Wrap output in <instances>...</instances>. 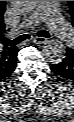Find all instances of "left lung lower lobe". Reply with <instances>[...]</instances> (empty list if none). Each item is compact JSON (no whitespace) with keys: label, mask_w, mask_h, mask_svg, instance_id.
I'll return each mask as SVG.
<instances>
[{"label":"left lung lower lobe","mask_w":74,"mask_h":122,"mask_svg":"<svg viewBox=\"0 0 74 122\" xmlns=\"http://www.w3.org/2000/svg\"><path fill=\"white\" fill-rule=\"evenodd\" d=\"M51 70L63 80L74 82V47L67 48L63 60L56 64H50Z\"/></svg>","instance_id":"1"}]
</instances>
